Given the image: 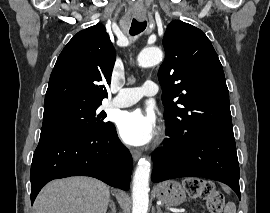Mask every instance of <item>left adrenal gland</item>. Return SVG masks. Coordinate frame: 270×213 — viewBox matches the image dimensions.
Returning a JSON list of instances; mask_svg holds the SVG:
<instances>
[{"mask_svg": "<svg viewBox=\"0 0 270 213\" xmlns=\"http://www.w3.org/2000/svg\"><path fill=\"white\" fill-rule=\"evenodd\" d=\"M156 208H157V213H163L159 206H156Z\"/></svg>", "mask_w": 270, "mask_h": 213, "instance_id": "1", "label": "left adrenal gland"}]
</instances>
